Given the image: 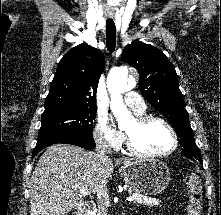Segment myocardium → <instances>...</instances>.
Instances as JSON below:
<instances>
[{
  "label": "myocardium",
  "instance_id": "myocardium-1",
  "mask_svg": "<svg viewBox=\"0 0 221 215\" xmlns=\"http://www.w3.org/2000/svg\"><path fill=\"white\" fill-rule=\"evenodd\" d=\"M136 121L138 122L139 125H145V124H148L153 121H158V122L164 124L172 136L173 144H172L171 148L166 152L147 153V152L140 150L135 145V143L133 142L130 135L128 133H126V145H127L128 150L131 153H133L136 156L143 157V158H162V157H167L176 151V149L178 147V143H179L178 135H177L174 127L172 126V124L169 121H167L165 118L157 116V115H139V116H137Z\"/></svg>",
  "mask_w": 221,
  "mask_h": 215
}]
</instances>
